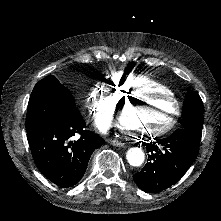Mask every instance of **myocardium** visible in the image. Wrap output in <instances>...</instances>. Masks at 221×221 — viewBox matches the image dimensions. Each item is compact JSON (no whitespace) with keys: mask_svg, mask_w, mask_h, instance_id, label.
I'll return each mask as SVG.
<instances>
[{"mask_svg":"<svg viewBox=\"0 0 221 221\" xmlns=\"http://www.w3.org/2000/svg\"><path fill=\"white\" fill-rule=\"evenodd\" d=\"M132 101L135 103H140V102H146L153 100V99H157V100H161L164 101L168 104H170V108H171V114L170 116H168V118L166 119L165 122H163L162 124H158V123H148L144 126L143 128V132L145 135H143L142 137L144 138H158L159 133L164 132L166 130H168L170 127H172L174 124L177 123L176 119L179 113V103L176 100V98L174 97V95H172L171 93L169 94L168 92H164L161 90H154V91H147V92H142L140 94H135L132 96Z\"/></svg>","mask_w":221,"mask_h":221,"instance_id":"myocardium-1","label":"myocardium"}]
</instances>
